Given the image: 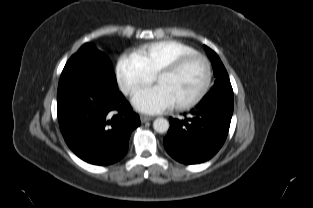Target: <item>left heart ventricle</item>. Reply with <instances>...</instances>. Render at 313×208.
<instances>
[{
    "instance_id": "left-heart-ventricle-1",
    "label": "left heart ventricle",
    "mask_w": 313,
    "mask_h": 208,
    "mask_svg": "<svg viewBox=\"0 0 313 208\" xmlns=\"http://www.w3.org/2000/svg\"><path fill=\"white\" fill-rule=\"evenodd\" d=\"M205 76L204 63L197 59L174 74L159 77L156 83L167 91L174 104H179L192 99L199 93Z\"/></svg>"
}]
</instances>
